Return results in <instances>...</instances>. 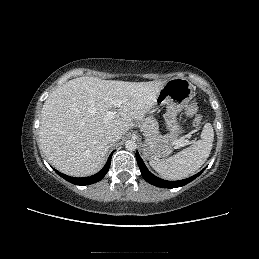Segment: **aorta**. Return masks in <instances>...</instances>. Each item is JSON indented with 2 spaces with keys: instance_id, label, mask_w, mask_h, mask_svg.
Listing matches in <instances>:
<instances>
[{
  "instance_id": "762f6f07",
  "label": "aorta",
  "mask_w": 259,
  "mask_h": 259,
  "mask_svg": "<svg viewBox=\"0 0 259 259\" xmlns=\"http://www.w3.org/2000/svg\"><path fill=\"white\" fill-rule=\"evenodd\" d=\"M125 148L129 151H133L137 148L135 140H127L125 143Z\"/></svg>"
}]
</instances>
